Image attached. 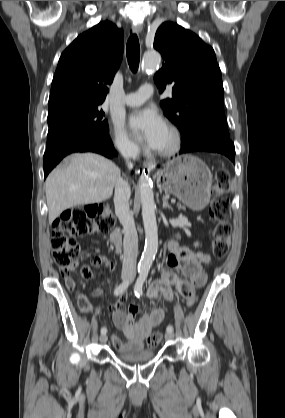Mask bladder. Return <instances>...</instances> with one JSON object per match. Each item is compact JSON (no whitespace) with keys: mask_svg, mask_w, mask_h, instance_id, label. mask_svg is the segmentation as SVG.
<instances>
[{"mask_svg":"<svg viewBox=\"0 0 285 418\" xmlns=\"http://www.w3.org/2000/svg\"><path fill=\"white\" fill-rule=\"evenodd\" d=\"M114 354L116 357H118L120 360L128 363H143L148 362L154 358V352L152 350L147 351H125L121 352L119 350H115Z\"/></svg>","mask_w":285,"mask_h":418,"instance_id":"31cf9c89","label":"bladder"}]
</instances>
